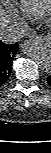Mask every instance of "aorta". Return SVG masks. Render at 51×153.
Masks as SVG:
<instances>
[{"label":"aorta","instance_id":"1","mask_svg":"<svg viewBox=\"0 0 51 153\" xmlns=\"http://www.w3.org/2000/svg\"><path fill=\"white\" fill-rule=\"evenodd\" d=\"M23 50L32 57L46 72L51 69V51L43 43L28 40L22 45Z\"/></svg>","mask_w":51,"mask_h":153}]
</instances>
